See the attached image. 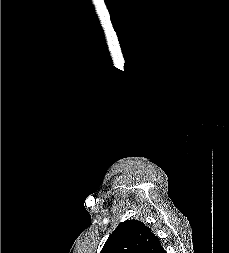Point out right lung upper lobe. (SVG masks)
I'll return each mask as SVG.
<instances>
[{
	"mask_svg": "<svg viewBox=\"0 0 229 253\" xmlns=\"http://www.w3.org/2000/svg\"><path fill=\"white\" fill-rule=\"evenodd\" d=\"M100 253H166L150 228L138 220H126L118 225Z\"/></svg>",
	"mask_w": 229,
	"mask_h": 253,
	"instance_id": "cb5924a9",
	"label": "right lung upper lobe"
}]
</instances>
